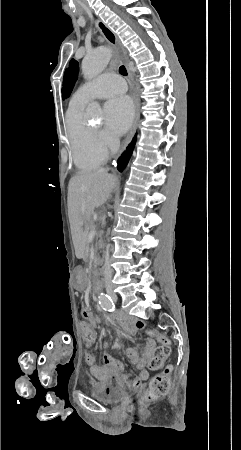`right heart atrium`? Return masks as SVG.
I'll return each instance as SVG.
<instances>
[{
  "instance_id": "1",
  "label": "right heart atrium",
  "mask_w": 241,
  "mask_h": 450,
  "mask_svg": "<svg viewBox=\"0 0 241 450\" xmlns=\"http://www.w3.org/2000/svg\"><path fill=\"white\" fill-rule=\"evenodd\" d=\"M96 132V131H95ZM110 139V138H109ZM112 144V140L110 139V142L108 143V145H111Z\"/></svg>"
}]
</instances>
